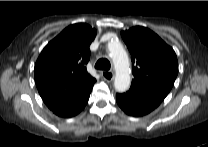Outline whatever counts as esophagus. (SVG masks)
<instances>
[{"mask_svg":"<svg viewBox=\"0 0 208 147\" xmlns=\"http://www.w3.org/2000/svg\"><path fill=\"white\" fill-rule=\"evenodd\" d=\"M101 76L106 81H112L114 79V72L113 71H102Z\"/></svg>","mask_w":208,"mask_h":147,"instance_id":"obj_1","label":"esophagus"}]
</instances>
